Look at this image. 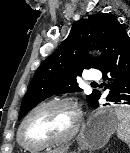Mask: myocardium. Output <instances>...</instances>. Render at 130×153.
I'll return each mask as SVG.
<instances>
[{
	"mask_svg": "<svg viewBox=\"0 0 130 153\" xmlns=\"http://www.w3.org/2000/svg\"><path fill=\"white\" fill-rule=\"evenodd\" d=\"M50 105H64L69 107L75 115V122L73 127L71 128V130L69 131L67 135L61 138H56V139L47 140L43 142H36V143L27 142L23 136V129L25 127V124L36 111ZM81 124H82V113L78 104L75 101L68 98L49 99L39 103L25 115L18 129V141L24 148L32 149V150H40V149H44V148L55 146V145L65 144L71 141L77 135L81 127Z\"/></svg>",
	"mask_w": 130,
	"mask_h": 153,
	"instance_id": "obj_1",
	"label": "myocardium"
}]
</instances>
